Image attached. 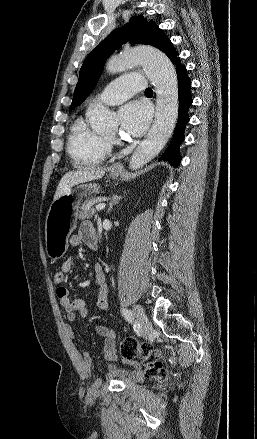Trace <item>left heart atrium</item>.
Listing matches in <instances>:
<instances>
[{
	"instance_id": "39dd6f15",
	"label": "left heart atrium",
	"mask_w": 257,
	"mask_h": 439,
	"mask_svg": "<svg viewBox=\"0 0 257 439\" xmlns=\"http://www.w3.org/2000/svg\"><path fill=\"white\" fill-rule=\"evenodd\" d=\"M150 118V108L144 102L132 101L123 106L119 111L122 135L129 139L139 137L146 130Z\"/></svg>"
}]
</instances>
